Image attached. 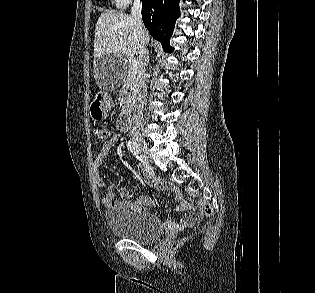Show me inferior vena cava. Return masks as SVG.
<instances>
[{
	"mask_svg": "<svg viewBox=\"0 0 315 293\" xmlns=\"http://www.w3.org/2000/svg\"><path fill=\"white\" fill-rule=\"evenodd\" d=\"M132 17L134 19L135 35L138 47L139 61H138V72L136 75L137 79V104L133 115V127L131 133L141 134L143 130V106L146 98V85H145V73H146V42H145V28L142 21L141 14V2L135 0L132 10Z\"/></svg>",
	"mask_w": 315,
	"mask_h": 293,
	"instance_id": "602c4592",
	"label": "inferior vena cava"
}]
</instances>
